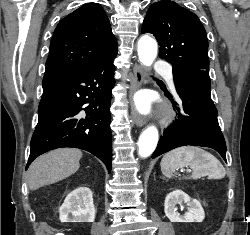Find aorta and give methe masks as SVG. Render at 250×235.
Here are the masks:
<instances>
[{
    "instance_id": "1",
    "label": "aorta",
    "mask_w": 250,
    "mask_h": 235,
    "mask_svg": "<svg viewBox=\"0 0 250 235\" xmlns=\"http://www.w3.org/2000/svg\"><path fill=\"white\" fill-rule=\"evenodd\" d=\"M138 56L143 65L150 66L157 56V43L149 36H143L138 42ZM158 143V130L154 126L145 129L140 135L138 142L139 156H150Z\"/></svg>"
}]
</instances>
